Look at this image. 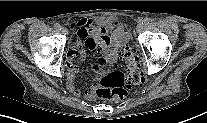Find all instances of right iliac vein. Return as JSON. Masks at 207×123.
<instances>
[{"label":"right iliac vein","mask_w":207,"mask_h":123,"mask_svg":"<svg viewBox=\"0 0 207 123\" xmlns=\"http://www.w3.org/2000/svg\"><path fill=\"white\" fill-rule=\"evenodd\" d=\"M60 31H61L62 33H64V34H66V33H67V29H66V28H64V27H61Z\"/></svg>","instance_id":"right-iliac-vein-1"}]
</instances>
